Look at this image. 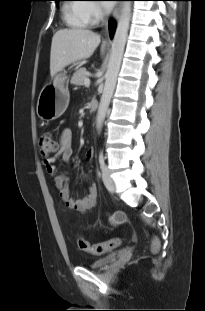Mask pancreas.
I'll return each instance as SVG.
<instances>
[{"label":"pancreas","mask_w":205,"mask_h":311,"mask_svg":"<svg viewBox=\"0 0 205 311\" xmlns=\"http://www.w3.org/2000/svg\"><path fill=\"white\" fill-rule=\"evenodd\" d=\"M85 78H87V70L85 68H80L73 74L71 83L76 86H82L84 85Z\"/></svg>","instance_id":"1"}]
</instances>
